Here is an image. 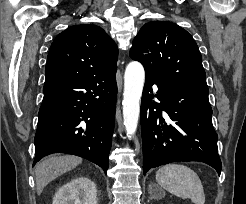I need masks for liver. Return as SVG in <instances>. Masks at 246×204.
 Wrapping results in <instances>:
<instances>
[{
    "mask_svg": "<svg viewBox=\"0 0 246 204\" xmlns=\"http://www.w3.org/2000/svg\"><path fill=\"white\" fill-rule=\"evenodd\" d=\"M81 162L82 159L74 155L51 156L39 162L35 169L37 194L40 195L48 183Z\"/></svg>",
    "mask_w": 246,
    "mask_h": 204,
    "instance_id": "obj_1",
    "label": "liver"
}]
</instances>
